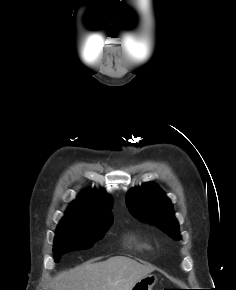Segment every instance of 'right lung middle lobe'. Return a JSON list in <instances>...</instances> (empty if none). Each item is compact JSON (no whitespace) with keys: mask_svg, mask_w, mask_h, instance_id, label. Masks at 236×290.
<instances>
[{"mask_svg":"<svg viewBox=\"0 0 236 290\" xmlns=\"http://www.w3.org/2000/svg\"><path fill=\"white\" fill-rule=\"evenodd\" d=\"M112 218H98L86 221L63 219L57 227L53 252L58 262L62 254L90 248L101 239L112 224Z\"/></svg>","mask_w":236,"mask_h":290,"instance_id":"right-lung-middle-lobe-1","label":"right lung middle lobe"}]
</instances>
